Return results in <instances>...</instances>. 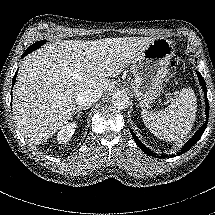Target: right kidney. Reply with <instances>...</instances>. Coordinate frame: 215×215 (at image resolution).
<instances>
[{
	"label": "right kidney",
	"instance_id": "right-kidney-1",
	"mask_svg": "<svg viewBox=\"0 0 215 215\" xmlns=\"http://www.w3.org/2000/svg\"><path fill=\"white\" fill-rule=\"evenodd\" d=\"M76 125L74 123H70L60 129L57 135V140L59 143H66L69 141V139L72 137L74 134Z\"/></svg>",
	"mask_w": 215,
	"mask_h": 215
}]
</instances>
